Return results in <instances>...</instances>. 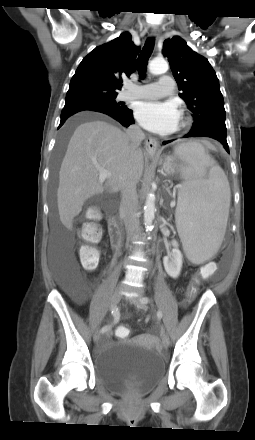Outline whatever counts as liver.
I'll return each mask as SVG.
<instances>
[{
	"label": "liver",
	"mask_w": 255,
	"mask_h": 440,
	"mask_svg": "<svg viewBox=\"0 0 255 440\" xmlns=\"http://www.w3.org/2000/svg\"><path fill=\"white\" fill-rule=\"evenodd\" d=\"M143 166L142 150L131 152L129 138L121 129L101 120L80 124L59 171L57 206L62 224L71 229L88 198L105 190L116 193L128 179L137 184ZM99 168L111 173L105 185L99 180Z\"/></svg>",
	"instance_id": "6515ba94"
}]
</instances>
